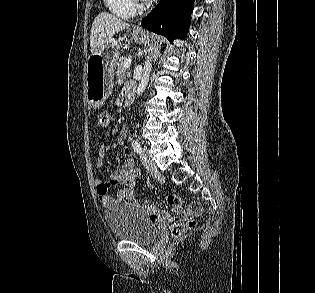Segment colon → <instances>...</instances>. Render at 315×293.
Masks as SVG:
<instances>
[{"mask_svg": "<svg viewBox=\"0 0 315 293\" xmlns=\"http://www.w3.org/2000/svg\"><path fill=\"white\" fill-rule=\"evenodd\" d=\"M109 117V114L106 112L99 114L98 123L101 128L104 129L108 125ZM168 202L173 208H178V210L181 209L182 201L177 195H169ZM199 210L200 207L193 204L181 213L179 222L176 223L172 229V234L175 238H180L185 232L196 226V221L192 218V216L197 214Z\"/></svg>", "mask_w": 315, "mask_h": 293, "instance_id": "1", "label": "colon"}]
</instances>
